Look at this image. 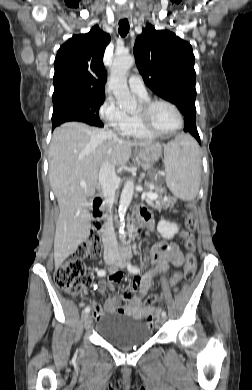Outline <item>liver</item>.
I'll return each mask as SVG.
<instances>
[{
  "mask_svg": "<svg viewBox=\"0 0 252 390\" xmlns=\"http://www.w3.org/2000/svg\"><path fill=\"white\" fill-rule=\"evenodd\" d=\"M104 129L79 122L56 128L49 147V181L60 214L56 222L54 261L59 267L89 236L88 198L95 194L99 168L105 160L114 166L126 164L132 147L158 146L150 142L109 140ZM81 182L86 186L82 187Z\"/></svg>",
  "mask_w": 252,
  "mask_h": 390,
  "instance_id": "6515ba94",
  "label": "liver"
}]
</instances>
